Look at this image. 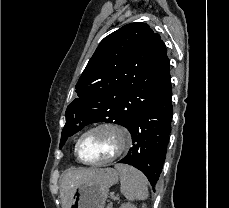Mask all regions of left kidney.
Segmentation results:
<instances>
[{
	"label": "left kidney",
	"mask_w": 229,
	"mask_h": 208,
	"mask_svg": "<svg viewBox=\"0 0 229 208\" xmlns=\"http://www.w3.org/2000/svg\"><path fill=\"white\" fill-rule=\"evenodd\" d=\"M121 208H135V206H131V204H123Z\"/></svg>",
	"instance_id": "5707ae66"
}]
</instances>
